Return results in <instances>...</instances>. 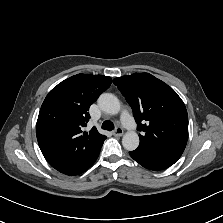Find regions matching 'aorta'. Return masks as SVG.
Instances as JSON below:
<instances>
[{"instance_id": "aorta-1", "label": "aorta", "mask_w": 223, "mask_h": 223, "mask_svg": "<svg viewBox=\"0 0 223 223\" xmlns=\"http://www.w3.org/2000/svg\"><path fill=\"white\" fill-rule=\"evenodd\" d=\"M99 108L110 115L120 111L119 99L111 93H102L97 100ZM122 145L128 151H133L139 146V137L136 132H127L122 138Z\"/></svg>"}]
</instances>
